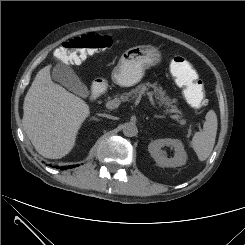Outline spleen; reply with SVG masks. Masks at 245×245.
Masks as SVG:
<instances>
[{
  "label": "spleen",
  "instance_id": "spleen-1",
  "mask_svg": "<svg viewBox=\"0 0 245 245\" xmlns=\"http://www.w3.org/2000/svg\"><path fill=\"white\" fill-rule=\"evenodd\" d=\"M217 127L216 113L210 110L206 114L203 129L196 132L191 141V146L200 161H205L210 156L215 144Z\"/></svg>",
  "mask_w": 245,
  "mask_h": 245
}]
</instances>
